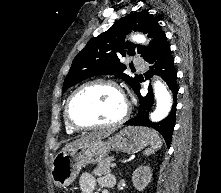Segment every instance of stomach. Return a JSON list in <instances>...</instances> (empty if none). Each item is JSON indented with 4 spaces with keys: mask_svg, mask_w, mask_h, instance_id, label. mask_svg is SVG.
Segmentation results:
<instances>
[{
    "mask_svg": "<svg viewBox=\"0 0 221 193\" xmlns=\"http://www.w3.org/2000/svg\"><path fill=\"white\" fill-rule=\"evenodd\" d=\"M151 139V131L145 127L128 126L102 139L59 152L51 164V178L59 187L69 186L80 170L88 164L103 161L111 150L135 153L145 148Z\"/></svg>",
    "mask_w": 221,
    "mask_h": 193,
    "instance_id": "stomach-1",
    "label": "stomach"
}]
</instances>
